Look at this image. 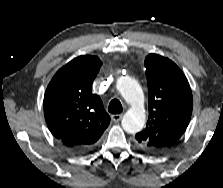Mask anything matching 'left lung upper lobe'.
I'll return each mask as SVG.
<instances>
[{"instance_id":"5c2ea615","label":"left lung upper lobe","mask_w":223,"mask_h":188,"mask_svg":"<svg viewBox=\"0 0 223 188\" xmlns=\"http://www.w3.org/2000/svg\"><path fill=\"white\" fill-rule=\"evenodd\" d=\"M149 117L136 140L153 153L169 149L185 132L192 114L193 98L188 80L166 57L145 58Z\"/></svg>"}]
</instances>
